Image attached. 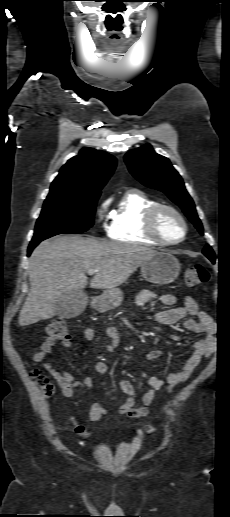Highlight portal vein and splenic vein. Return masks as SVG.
I'll use <instances>...</instances> for the list:
<instances>
[{"mask_svg":"<svg viewBox=\"0 0 230 517\" xmlns=\"http://www.w3.org/2000/svg\"><path fill=\"white\" fill-rule=\"evenodd\" d=\"M96 272H97V270H95V269H89V270L87 271V273H88L89 275H93V274H95Z\"/></svg>","mask_w":230,"mask_h":517,"instance_id":"1","label":"portal vein and splenic vein"}]
</instances>
